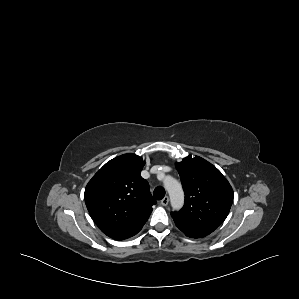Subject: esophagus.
I'll use <instances>...</instances> for the list:
<instances>
[{
  "mask_svg": "<svg viewBox=\"0 0 299 299\" xmlns=\"http://www.w3.org/2000/svg\"><path fill=\"white\" fill-rule=\"evenodd\" d=\"M169 203V197L168 196H165L162 200H161V204L163 206H167Z\"/></svg>",
  "mask_w": 299,
  "mask_h": 299,
  "instance_id": "1",
  "label": "esophagus"
}]
</instances>
